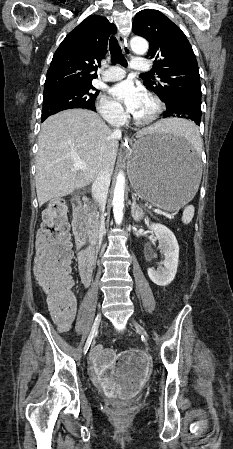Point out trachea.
Returning <instances> with one entry per match:
<instances>
[{"label":"trachea","mask_w":233,"mask_h":449,"mask_svg":"<svg viewBox=\"0 0 233 449\" xmlns=\"http://www.w3.org/2000/svg\"><path fill=\"white\" fill-rule=\"evenodd\" d=\"M109 50H110V54H111V61L113 63H119L124 67H127V61L125 59V57L122 54L121 48L118 44L117 39L114 36H111L110 40H109ZM142 75H147L149 76V73H144Z\"/></svg>","instance_id":"trachea-1"}]
</instances>
